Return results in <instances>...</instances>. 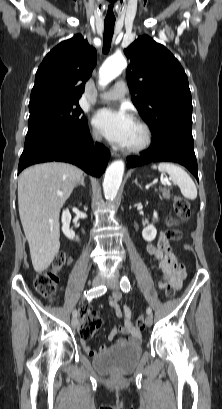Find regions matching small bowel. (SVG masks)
<instances>
[{
    "label": "small bowel",
    "instance_id": "c3829d8e",
    "mask_svg": "<svg viewBox=\"0 0 222 409\" xmlns=\"http://www.w3.org/2000/svg\"><path fill=\"white\" fill-rule=\"evenodd\" d=\"M147 251L152 256L158 265V269L161 272V279L158 282L159 289H165L167 285L173 286L175 289H180L182 281L185 277V260H182L181 256H175L170 248L168 239L164 234H161L156 245L149 244ZM122 299V293L120 291H114L108 298L109 306L115 311L118 318L123 320V324L120 326H114L111 330L108 339L114 340L118 333L125 335L116 339V345H124L128 343L137 344L141 341V334L135 328L132 322L131 309L124 305L120 306ZM82 345L84 350L89 356H95L96 351L88 346L86 340L83 339ZM108 347L102 345L99 348L101 353L106 352Z\"/></svg>",
    "mask_w": 222,
    "mask_h": 409
}]
</instances>
